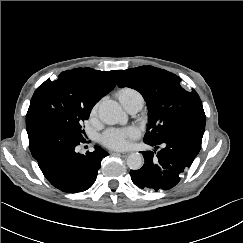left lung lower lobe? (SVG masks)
Wrapping results in <instances>:
<instances>
[{
	"label": "left lung lower lobe",
	"instance_id": "obj_1",
	"mask_svg": "<svg viewBox=\"0 0 243 243\" xmlns=\"http://www.w3.org/2000/svg\"><path fill=\"white\" fill-rule=\"evenodd\" d=\"M205 123V117L190 118L174 126L160 141L145 142L155 149L159 145L163 148L157 153L142 152L143 167L130 171L133 183L141 189L156 192L174 187L201 149Z\"/></svg>",
	"mask_w": 243,
	"mask_h": 243
}]
</instances>
